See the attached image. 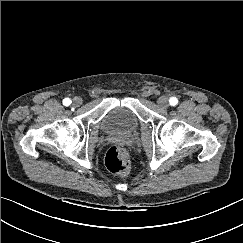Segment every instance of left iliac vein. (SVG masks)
Returning <instances> with one entry per match:
<instances>
[{
    "instance_id": "4c4485c4",
    "label": "left iliac vein",
    "mask_w": 243,
    "mask_h": 243,
    "mask_svg": "<svg viewBox=\"0 0 243 243\" xmlns=\"http://www.w3.org/2000/svg\"><path fill=\"white\" fill-rule=\"evenodd\" d=\"M158 105L161 107V108H168L169 107V100L166 96H161L159 99H158Z\"/></svg>"
}]
</instances>
